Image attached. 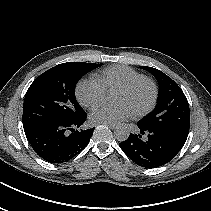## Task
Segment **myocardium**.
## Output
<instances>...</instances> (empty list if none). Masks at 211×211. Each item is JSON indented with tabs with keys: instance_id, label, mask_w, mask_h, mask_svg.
<instances>
[{
	"instance_id": "obj_1",
	"label": "myocardium",
	"mask_w": 211,
	"mask_h": 211,
	"mask_svg": "<svg viewBox=\"0 0 211 211\" xmlns=\"http://www.w3.org/2000/svg\"><path fill=\"white\" fill-rule=\"evenodd\" d=\"M144 83L148 84L151 87L152 97L147 106H145L142 109L133 111V114L135 116H144V115L150 113L155 108L157 101H158V86H157V84L151 78L143 76V77L134 79V80L120 86L119 88H117V90H120V91L130 92V91L134 90L136 87H138L139 85L144 84Z\"/></svg>"
}]
</instances>
